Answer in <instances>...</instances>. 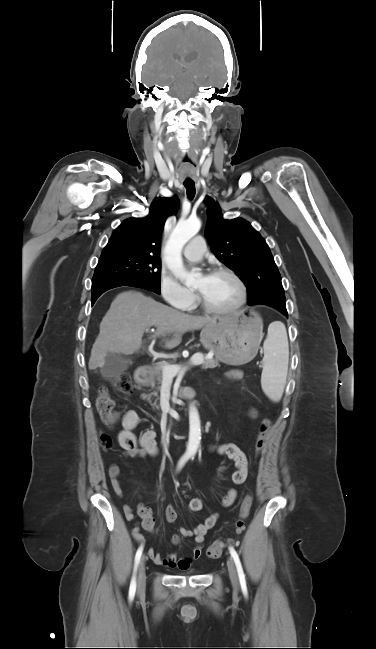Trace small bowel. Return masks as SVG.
<instances>
[{"instance_id":"obj_1","label":"small bowel","mask_w":376,"mask_h":649,"mask_svg":"<svg viewBox=\"0 0 376 649\" xmlns=\"http://www.w3.org/2000/svg\"><path fill=\"white\" fill-rule=\"evenodd\" d=\"M230 376L237 378L239 373L233 371L230 373ZM140 423V417L135 410H128L122 419V429L117 435L118 445L125 451V455L129 457H145V456H156L158 453V446L156 443V433L152 430H146L140 437L135 434V429ZM218 454L226 455L230 459L235 461L236 470L232 474V482L234 485L242 484L248 474L247 459L244 453L233 444H222L214 446L212 448ZM120 468L118 465L113 464L108 469V476L110 479L111 487L114 493L118 497L123 496V487L119 479ZM236 497V491L230 490L227 496L224 498V504L230 505ZM188 508L190 511L197 512L202 509V502L199 499H192ZM124 516L127 521H133L135 519L134 510L127 504L122 506ZM136 513L141 518V527L149 532L155 531V522L152 515V511L149 507L145 506L142 503H139L136 507ZM178 514L176 508L173 505H168L165 509V518L169 523H173L177 520ZM218 521V514L211 513L209 514L205 521L201 524H198L194 529H188L186 527H181L179 533L183 537H193L195 547L187 555L178 556L177 553H173L168 557L163 558L155 549L151 548L148 550V556L156 564L164 566L167 568H179L181 570L188 569L193 562L198 560L202 554V546L204 543L206 533L215 526ZM132 535L138 543H144V538L140 533V527L136 526L132 529ZM180 537L178 535L173 536L172 543L179 544ZM142 546V545H141Z\"/></svg>"}]
</instances>
